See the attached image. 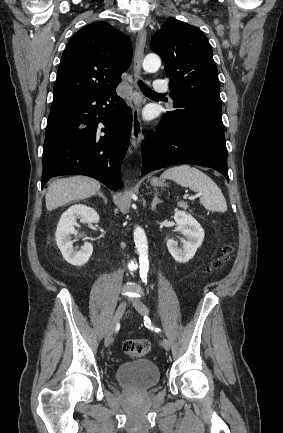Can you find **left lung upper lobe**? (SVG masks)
Instances as JSON below:
<instances>
[{
    "instance_id": "left-lung-upper-lobe-1",
    "label": "left lung upper lobe",
    "mask_w": 283,
    "mask_h": 433,
    "mask_svg": "<svg viewBox=\"0 0 283 433\" xmlns=\"http://www.w3.org/2000/svg\"><path fill=\"white\" fill-rule=\"evenodd\" d=\"M151 49L165 60L174 120H202L224 131L220 83L208 39L197 27L170 19L155 33Z\"/></svg>"
}]
</instances>
